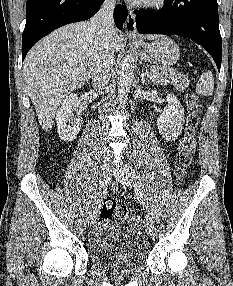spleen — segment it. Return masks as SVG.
<instances>
[{
    "label": "spleen",
    "mask_w": 233,
    "mask_h": 286,
    "mask_svg": "<svg viewBox=\"0 0 233 286\" xmlns=\"http://www.w3.org/2000/svg\"><path fill=\"white\" fill-rule=\"evenodd\" d=\"M214 91V78L211 71L204 72L196 85V93L211 96Z\"/></svg>",
    "instance_id": "1"
}]
</instances>
